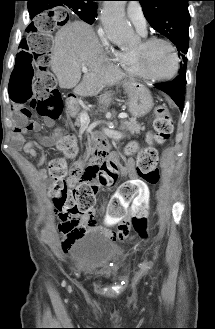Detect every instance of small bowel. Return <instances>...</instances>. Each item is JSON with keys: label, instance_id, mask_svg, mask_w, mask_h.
Segmentation results:
<instances>
[{"label": "small bowel", "instance_id": "c3829d8e", "mask_svg": "<svg viewBox=\"0 0 215 329\" xmlns=\"http://www.w3.org/2000/svg\"><path fill=\"white\" fill-rule=\"evenodd\" d=\"M27 129L28 127L15 129L18 147L34 158L38 157L44 148L54 146L58 140V133H55L52 137L38 136L36 141H27L24 138ZM84 165L85 161L79 160L70 171L83 169ZM121 173L129 178L126 179V182H120V187H117L114 196L100 209L103 217L107 219L108 227H118V230L114 232L100 225L94 210L85 217L68 220H61L56 212V216L61 220L59 230L65 235L61 245L64 253L72 251L75 241L90 231L102 232L115 240L123 241L129 235L130 218H150L151 213L147 199H150L151 187H148L147 182H143L142 178L136 177L134 161L128 160L122 167ZM69 181H75L72 175H70Z\"/></svg>", "mask_w": 215, "mask_h": 329}]
</instances>
